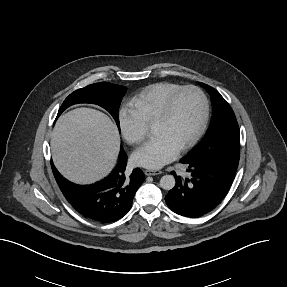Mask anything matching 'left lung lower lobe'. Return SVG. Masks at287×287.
<instances>
[{"label": "left lung lower lobe", "mask_w": 287, "mask_h": 287, "mask_svg": "<svg viewBox=\"0 0 287 287\" xmlns=\"http://www.w3.org/2000/svg\"><path fill=\"white\" fill-rule=\"evenodd\" d=\"M187 167L190 178L181 179L171 173L176 184L165 196L168 207L175 213L196 218L215 208L227 194L238 165L222 161H180Z\"/></svg>", "instance_id": "obj_1"}]
</instances>
